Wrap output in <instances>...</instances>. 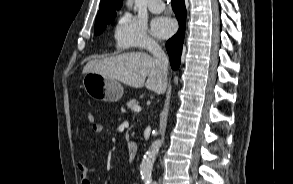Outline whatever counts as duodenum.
I'll use <instances>...</instances> for the list:
<instances>
[{
	"label": "duodenum",
	"instance_id": "1",
	"mask_svg": "<svg viewBox=\"0 0 293 184\" xmlns=\"http://www.w3.org/2000/svg\"><path fill=\"white\" fill-rule=\"evenodd\" d=\"M138 152V144L134 141L128 143V157L130 161L136 158Z\"/></svg>",
	"mask_w": 293,
	"mask_h": 184
}]
</instances>
